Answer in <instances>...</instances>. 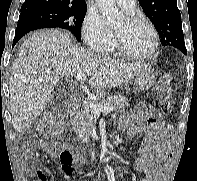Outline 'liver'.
<instances>
[{
	"mask_svg": "<svg viewBox=\"0 0 197 181\" xmlns=\"http://www.w3.org/2000/svg\"><path fill=\"white\" fill-rule=\"evenodd\" d=\"M148 66L102 57L73 46L70 35L42 30L20 47L9 78L10 112L15 131L29 129L52 98L60 78L83 73L92 88H113L134 78Z\"/></svg>",
	"mask_w": 197,
	"mask_h": 181,
	"instance_id": "liver-1",
	"label": "liver"
}]
</instances>
